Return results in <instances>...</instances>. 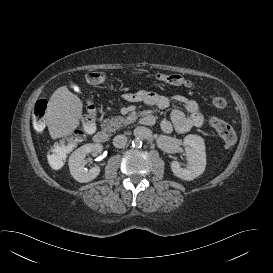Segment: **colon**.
I'll list each match as a JSON object with an SVG mask.
<instances>
[{
    "instance_id": "colon-1",
    "label": "colon",
    "mask_w": 273,
    "mask_h": 273,
    "mask_svg": "<svg viewBox=\"0 0 273 273\" xmlns=\"http://www.w3.org/2000/svg\"><path fill=\"white\" fill-rule=\"evenodd\" d=\"M106 75L103 71L92 70L87 73L86 79L91 84H101L104 82ZM155 79L159 82L174 85V86H188L190 82L183 76L178 74H155ZM212 104L216 108H224L227 104L223 97L216 96L212 99ZM48 103L45 99H39L33 109V124L38 131L44 130L46 127V113ZM211 127H213L224 140L228 146H232L237 141V135L232 126L225 121L217 118L210 117L208 120ZM97 125V108L93 102L87 103L86 112L81 118L80 128L74 131L65 141L64 144L57 146L51 153V165L59 168L61 162L58 158L53 157L56 154H62L73 145L79 143L84 138L85 132H92L95 130ZM53 157V158H52Z\"/></svg>"
}]
</instances>
